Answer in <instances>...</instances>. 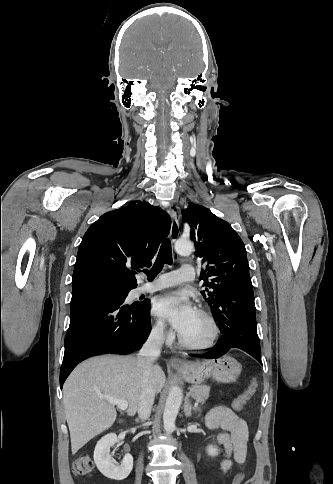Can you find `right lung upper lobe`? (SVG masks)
<instances>
[{"instance_id":"obj_1","label":"right lung upper lobe","mask_w":333,"mask_h":484,"mask_svg":"<svg viewBox=\"0 0 333 484\" xmlns=\"http://www.w3.org/2000/svg\"><path fill=\"white\" fill-rule=\"evenodd\" d=\"M170 226L169 215L148 202H133L103 214L83 236L74 267L72 291L134 289L136 272L151 265Z\"/></svg>"}]
</instances>
